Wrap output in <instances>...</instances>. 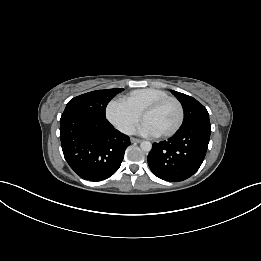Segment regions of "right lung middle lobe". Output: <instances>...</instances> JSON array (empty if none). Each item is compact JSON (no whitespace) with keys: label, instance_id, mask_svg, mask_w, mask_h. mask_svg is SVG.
<instances>
[{"label":"right lung middle lobe","instance_id":"obj_1","mask_svg":"<svg viewBox=\"0 0 261 261\" xmlns=\"http://www.w3.org/2000/svg\"><path fill=\"white\" fill-rule=\"evenodd\" d=\"M123 89L97 90L71 99L64 112H79L89 116L106 118L105 110L109 101Z\"/></svg>","mask_w":261,"mask_h":261}]
</instances>
